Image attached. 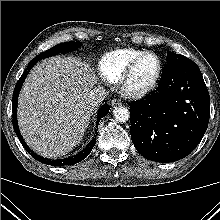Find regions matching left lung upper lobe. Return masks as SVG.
Here are the masks:
<instances>
[{"label": "left lung upper lobe", "mask_w": 220, "mask_h": 220, "mask_svg": "<svg viewBox=\"0 0 220 220\" xmlns=\"http://www.w3.org/2000/svg\"><path fill=\"white\" fill-rule=\"evenodd\" d=\"M166 60H167V62H177V61L188 60V58L183 55L176 54L174 52H168Z\"/></svg>", "instance_id": "left-lung-upper-lobe-1"}]
</instances>
